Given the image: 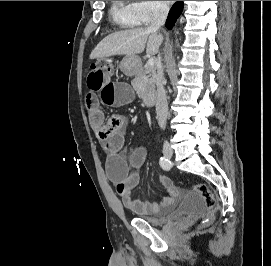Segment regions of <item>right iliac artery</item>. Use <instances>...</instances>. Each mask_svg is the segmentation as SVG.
<instances>
[{
  "label": "right iliac artery",
  "mask_w": 271,
  "mask_h": 266,
  "mask_svg": "<svg viewBox=\"0 0 271 266\" xmlns=\"http://www.w3.org/2000/svg\"><path fill=\"white\" fill-rule=\"evenodd\" d=\"M160 166L162 167V169L164 170H170L171 168V161L168 160L166 157H161L160 158Z\"/></svg>",
  "instance_id": "obj_1"
}]
</instances>
